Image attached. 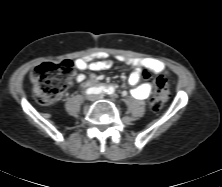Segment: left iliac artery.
<instances>
[{"mask_svg": "<svg viewBox=\"0 0 222 187\" xmlns=\"http://www.w3.org/2000/svg\"><path fill=\"white\" fill-rule=\"evenodd\" d=\"M105 92L109 95H114V89L112 87H108L105 89Z\"/></svg>", "mask_w": 222, "mask_h": 187, "instance_id": "left-iliac-artery-1", "label": "left iliac artery"}]
</instances>
